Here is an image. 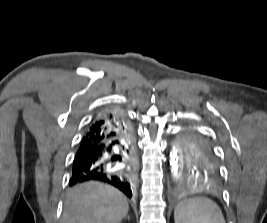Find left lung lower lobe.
I'll use <instances>...</instances> for the list:
<instances>
[{
    "label": "left lung lower lobe",
    "instance_id": "left-lung-lower-lobe-1",
    "mask_svg": "<svg viewBox=\"0 0 267 223\" xmlns=\"http://www.w3.org/2000/svg\"><path fill=\"white\" fill-rule=\"evenodd\" d=\"M178 176L184 180L183 189H222L218 177L224 176V171H178Z\"/></svg>",
    "mask_w": 267,
    "mask_h": 223
}]
</instances>
